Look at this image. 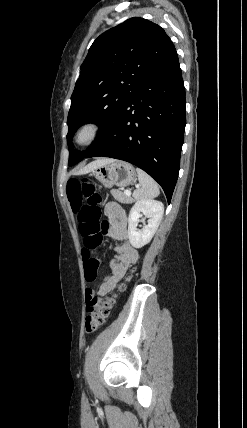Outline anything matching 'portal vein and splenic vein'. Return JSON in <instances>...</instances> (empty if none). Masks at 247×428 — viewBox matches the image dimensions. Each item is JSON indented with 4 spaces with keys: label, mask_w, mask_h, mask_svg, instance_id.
Returning a JSON list of instances; mask_svg holds the SVG:
<instances>
[{
    "label": "portal vein and splenic vein",
    "mask_w": 247,
    "mask_h": 428,
    "mask_svg": "<svg viewBox=\"0 0 247 428\" xmlns=\"http://www.w3.org/2000/svg\"><path fill=\"white\" fill-rule=\"evenodd\" d=\"M124 193H125L126 195H128V196H130V195H131V191H130V190H125V191H124Z\"/></svg>",
    "instance_id": "18ae733b"
}]
</instances>
